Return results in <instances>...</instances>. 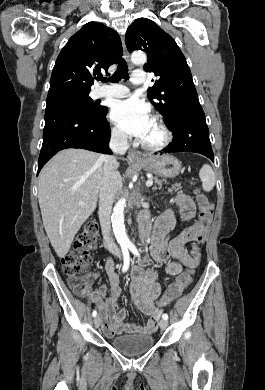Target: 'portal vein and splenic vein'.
Segmentation results:
<instances>
[{"label":"portal vein and splenic vein","instance_id":"1","mask_svg":"<svg viewBox=\"0 0 265 390\" xmlns=\"http://www.w3.org/2000/svg\"><path fill=\"white\" fill-rule=\"evenodd\" d=\"M153 185V181L151 179L146 181V186L151 187Z\"/></svg>","mask_w":265,"mask_h":390}]
</instances>
